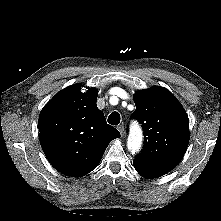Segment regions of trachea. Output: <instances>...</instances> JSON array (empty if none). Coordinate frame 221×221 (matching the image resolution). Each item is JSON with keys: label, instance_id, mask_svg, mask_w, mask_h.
<instances>
[{"label": "trachea", "instance_id": "obj_1", "mask_svg": "<svg viewBox=\"0 0 221 221\" xmlns=\"http://www.w3.org/2000/svg\"><path fill=\"white\" fill-rule=\"evenodd\" d=\"M120 119V114L114 111L109 115L108 123L111 125H118L120 123Z\"/></svg>", "mask_w": 221, "mask_h": 221}]
</instances>
